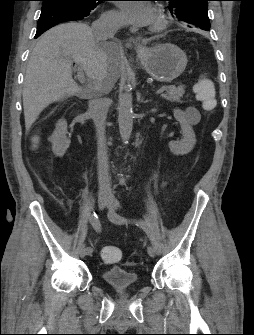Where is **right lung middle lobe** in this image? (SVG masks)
<instances>
[{
  "instance_id": "dd1d6c3e",
  "label": "right lung middle lobe",
  "mask_w": 254,
  "mask_h": 335,
  "mask_svg": "<svg viewBox=\"0 0 254 335\" xmlns=\"http://www.w3.org/2000/svg\"><path fill=\"white\" fill-rule=\"evenodd\" d=\"M41 1H43L42 5L53 2H63L73 4L79 8L93 10L102 0H41Z\"/></svg>"
}]
</instances>
